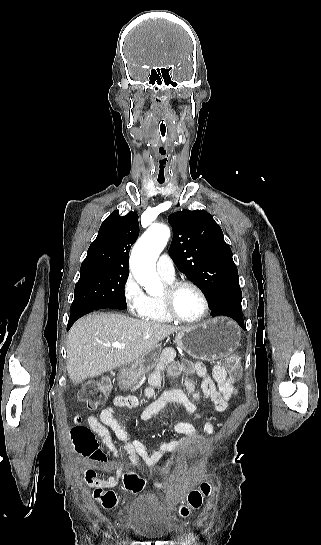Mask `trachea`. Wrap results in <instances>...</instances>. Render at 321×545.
<instances>
[{
	"mask_svg": "<svg viewBox=\"0 0 321 545\" xmlns=\"http://www.w3.org/2000/svg\"><path fill=\"white\" fill-rule=\"evenodd\" d=\"M160 133L162 134L159 137L160 140H161L160 142L163 144L165 142L164 140L166 138L165 134L167 133V125H166V123L164 121L160 125Z\"/></svg>",
	"mask_w": 321,
	"mask_h": 545,
	"instance_id": "3493384b",
	"label": "trachea"
}]
</instances>
